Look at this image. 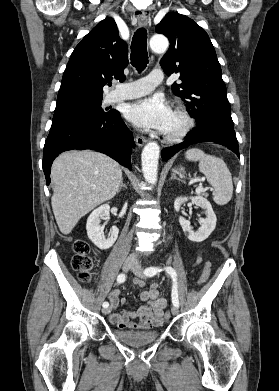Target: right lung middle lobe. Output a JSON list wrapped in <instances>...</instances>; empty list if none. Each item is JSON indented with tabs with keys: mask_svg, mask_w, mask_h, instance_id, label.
Here are the masks:
<instances>
[{
	"mask_svg": "<svg viewBox=\"0 0 279 391\" xmlns=\"http://www.w3.org/2000/svg\"><path fill=\"white\" fill-rule=\"evenodd\" d=\"M101 101L82 102L68 107L55 109L53 122L65 119H101L114 112L101 108Z\"/></svg>",
	"mask_w": 279,
	"mask_h": 391,
	"instance_id": "dd1d6c3e",
	"label": "right lung middle lobe"
}]
</instances>
